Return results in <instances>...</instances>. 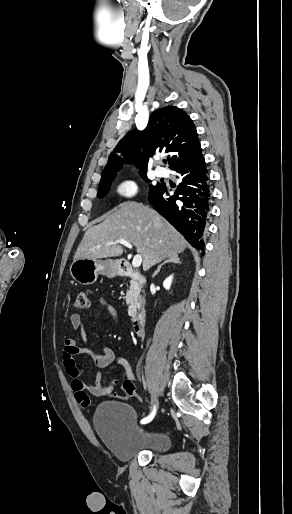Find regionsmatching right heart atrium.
<instances>
[{
	"instance_id": "right-heart-atrium-1",
	"label": "right heart atrium",
	"mask_w": 292,
	"mask_h": 514,
	"mask_svg": "<svg viewBox=\"0 0 292 514\" xmlns=\"http://www.w3.org/2000/svg\"><path fill=\"white\" fill-rule=\"evenodd\" d=\"M113 195L116 200H131L139 191L138 182L132 177H124L113 185Z\"/></svg>"
}]
</instances>
